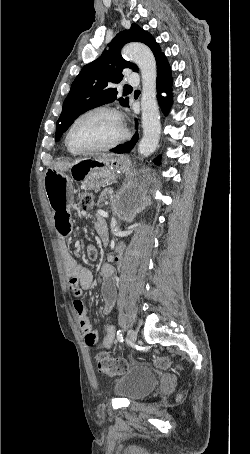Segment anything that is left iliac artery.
Masks as SVG:
<instances>
[{
    "instance_id": "44dca946",
    "label": "left iliac artery",
    "mask_w": 250,
    "mask_h": 454,
    "mask_svg": "<svg viewBox=\"0 0 250 454\" xmlns=\"http://www.w3.org/2000/svg\"><path fill=\"white\" fill-rule=\"evenodd\" d=\"M117 339H118V341L123 342V336H122V331L121 330L117 331Z\"/></svg>"
}]
</instances>
